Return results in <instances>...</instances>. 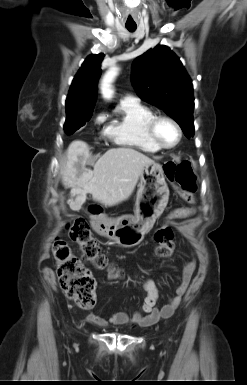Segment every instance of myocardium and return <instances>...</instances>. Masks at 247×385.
Segmentation results:
<instances>
[{
  "mask_svg": "<svg viewBox=\"0 0 247 385\" xmlns=\"http://www.w3.org/2000/svg\"><path fill=\"white\" fill-rule=\"evenodd\" d=\"M161 121L170 122L176 128V130L178 132V139L173 145H170V146L164 145L159 140V138L157 136V126H158L159 122H161ZM146 128H147L148 136L151 139V141L159 149H162V150H171V149L177 147L180 144L182 137H183V131H182L180 124L174 118H172L171 116H168V115H156L155 114L153 117H151L149 119Z\"/></svg>",
  "mask_w": 247,
  "mask_h": 385,
  "instance_id": "myocardium-1",
  "label": "myocardium"
}]
</instances>
